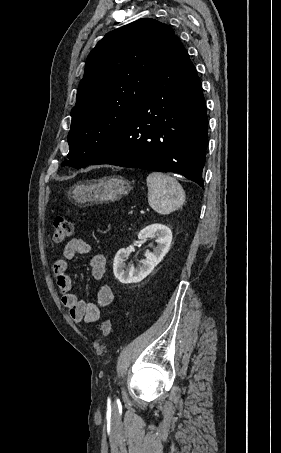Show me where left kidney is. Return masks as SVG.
Instances as JSON below:
<instances>
[{
  "mask_svg": "<svg viewBox=\"0 0 281 453\" xmlns=\"http://www.w3.org/2000/svg\"><path fill=\"white\" fill-rule=\"evenodd\" d=\"M149 237H155V239H157V247L156 249H153V253L146 251L144 255L146 259L139 261L141 265L136 267V269L135 267L125 269L124 261L129 253L127 249H120V251L116 253L113 263V273L120 283H125V285H128V283H140V281H143L145 277H148V275L152 273L156 265L161 263L163 257L167 255L172 243L171 229L165 227V224H159V222L149 224V227H145V229L140 231L138 239H141V241H148Z\"/></svg>",
  "mask_w": 281,
  "mask_h": 453,
  "instance_id": "left-kidney-1",
  "label": "left kidney"
}]
</instances>
